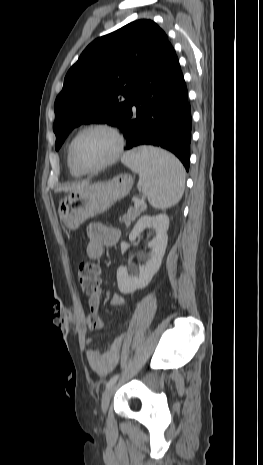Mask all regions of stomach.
I'll return each instance as SVG.
<instances>
[{"instance_id":"0dacf381","label":"stomach","mask_w":263,"mask_h":465,"mask_svg":"<svg viewBox=\"0 0 263 465\" xmlns=\"http://www.w3.org/2000/svg\"><path fill=\"white\" fill-rule=\"evenodd\" d=\"M132 185L133 179L130 175L119 174L108 181L70 192L60 201V219L69 229H77L87 219L104 213L115 202L128 195Z\"/></svg>"}]
</instances>
